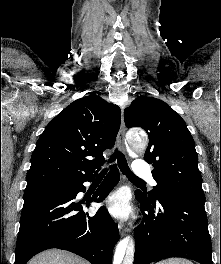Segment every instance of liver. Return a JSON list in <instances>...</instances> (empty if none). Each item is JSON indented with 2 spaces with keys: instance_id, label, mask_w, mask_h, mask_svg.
I'll return each instance as SVG.
<instances>
[{
  "instance_id": "liver-1",
  "label": "liver",
  "mask_w": 221,
  "mask_h": 264,
  "mask_svg": "<svg viewBox=\"0 0 221 264\" xmlns=\"http://www.w3.org/2000/svg\"><path fill=\"white\" fill-rule=\"evenodd\" d=\"M27 264H90L66 251L51 249L34 256Z\"/></svg>"
}]
</instances>
